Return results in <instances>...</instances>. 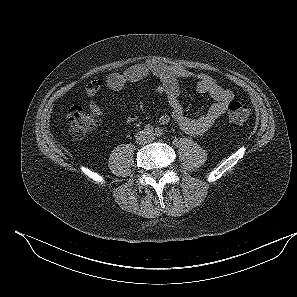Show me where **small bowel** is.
<instances>
[{"label": "small bowel", "instance_id": "small-bowel-1", "mask_svg": "<svg viewBox=\"0 0 297 297\" xmlns=\"http://www.w3.org/2000/svg\"><path fill=\"white\" fill-rule=\"evenodd\" d=\"M148 76L159 79L160 84L156 86L155 91L166 96L170 107L169 113H163L159 117V123L166 125L170 121H174L184 133L191 136H201L209 131L215 125L217 119L229 109L234 100V94L231 90L222 87L208 76H202L197 82L196 89L201 94L209 95L214 103L203 116L198 118L188 117L184 113L180 102L179 79L191 77V73L186 69L164 65L153 59L133 65L123 72L110 74L105 84L112 91H120L128 83H136ZM101 87L102 81H91L87 84L85 92L89 97H94ZM88 108L95 117L100 119L104 116V110L97 102L90 101ZM137 121V114L130 113L127 116L129 124H134Z\"/></svg>", "mask_w": 297, "mask_h": 297}]
</instances>
